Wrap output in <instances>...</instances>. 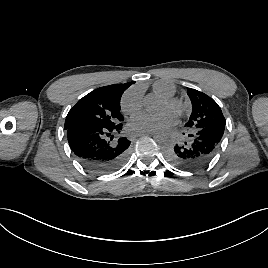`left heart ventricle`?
Listing matches in <instances>:
<instances>
[{"instance_id": "obj_1", "label": "left heart ventricle", "mask_w": 268, "mask_h": 268, "mask_svg": "<svg viewBox=\"0 0 268 268\" xmlns=\"http://www.w3.org/2000/svg\"><path fill=\"white\" fill-rule=\"evenodd\" d=\"M161 110L162 111H171V109L168 107V105L166 104V102H163L162 106H161Z\"/></svg>"}]
</instances>
